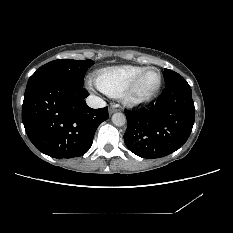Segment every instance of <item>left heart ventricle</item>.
<instances>
[{
    "mask_svg": "<svg viewBox=\"0 0 233 233\" xmlns=\"http://www.w3.org/2000/svg\"><path fill=\"white\" fill-rule=\"evenodd\" d=\"M159 81V75L156 70L148 71L143 78L141 79L140 83L136 88V96L137 97H144L152 93L155 88L157 87Z\"/></svg>",
    "mask_w": 233,
    "mask_h": 233,
    "instance_id": "b2bd125f",
    "label": "left heart ventricle"
}]
</instances>
